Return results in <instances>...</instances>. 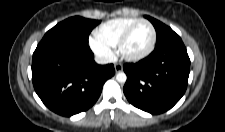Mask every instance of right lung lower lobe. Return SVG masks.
<instances>
[{"label":"right lung lower lobe","instance_id":"98d812e1","mask_svg":"<svg viewBox=\"0 0 225 132\" xmlns=\"http://www.w3.org/2000/svg\"><path fill=\"white\" fill-rule=\"evenodd\" d=\"M93 58L86 43L52 39L38 44L33 54L32 81L50 110L72 116L97 101L115 69L113 64L98 65Z\"/></svg>","mask_w":225,"mask_h":132}]
</instances>
